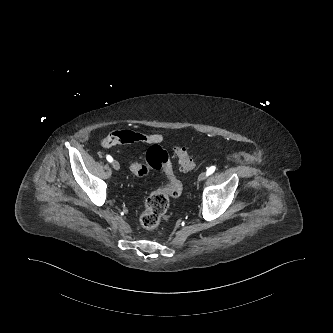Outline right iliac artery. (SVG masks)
I'll list each match as a JSON object with an SVG mask.
<instances>
[{"mask_svg": "<svg viewBox=\"0 0 333 333\" xmlns=\"http://www.w3.org/2000/svg\"><path fill=\"white\" fill-rule=\"evenodd\" d=\"M106 159H107L109 162H112V161H113V158H112L110 155H107V156H106Z\"/></svg>", "mask_w": 333, "mask_h": 333, "instance_id": "obj_1", "label": "right iliac artery"}]
</instances>
